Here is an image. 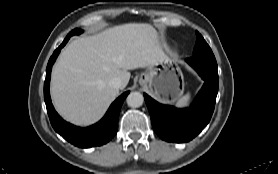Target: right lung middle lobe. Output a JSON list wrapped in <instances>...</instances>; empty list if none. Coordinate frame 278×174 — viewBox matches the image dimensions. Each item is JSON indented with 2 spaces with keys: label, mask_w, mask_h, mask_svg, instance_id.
<instances>
[{
  "label": "right lung middle lobe",
  "mask_w": 278,
  "mask_h": 174,
  "mask_svg": "<svg viewBox=\"0 0 278 174\" xmlns=\"http://www.w3.org/2000/svg\"><path fill=\"white\" fill-rule=\"evenodd\" d=\"M82 32H83V30H81V29H74L67 35V37H71L73 35L81 34Z\"/></svg>",
  "instance_id": "1"
}]
</instances>
